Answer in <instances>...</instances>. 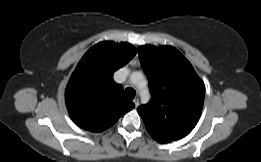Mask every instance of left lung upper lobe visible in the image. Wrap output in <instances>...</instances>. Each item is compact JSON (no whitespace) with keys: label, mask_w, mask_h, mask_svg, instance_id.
<instances>
[{"label":"left lung upper lobe","mask_w":261,"mask_h":162,"mask_svg":"<svg viewBox=\"0 0 261 162\" xmlns=\"http://www.w3.org/2000/svg\"><path fill=\"white\" fill-rule=\"evenodd\" d=\"M138 53L151 93V102L141 105L138 113L149 134L159 143L187 136L201 116L204 83L172 46L144 45Z\"/></svg>","instance_id":"1"}]
</instances>
